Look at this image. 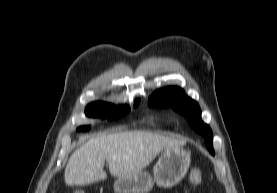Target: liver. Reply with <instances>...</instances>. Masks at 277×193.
<instances>
[{"label": "liver", "instance_id": "1", "mask_svg": "<svg viewBox=\"0 0 277 193\" xmlns=\"http://www.w3.org/2000/svg\"><path fill=\"white\" fill-rule=\"evenodd\" d=\"M185 144L183 139L146 131L103 133L73 152L64 179L69 186L104 180L107 177L103 169L105 160L111 175L127 177L146 168L162 150Z\"/></svg>", "mask_w": 277, "mask_h": 193}]
</instances>
